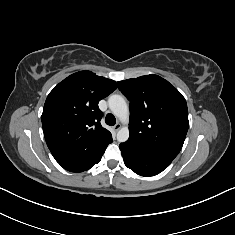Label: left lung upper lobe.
I'll use <instances>...</instances> for the list:
<instances>
[{"label": "left lung upper lobe", "instance_id": "obj_1", "mask_svg": "<svg viewBox=\"0 0 235 235\" xmlns=\"http://www.w3.org/2000/svg\"><path fill=\"white\" fill-rule=\"evenodd\" d=\"M130 101L128 143L168 160L180 152L189 127L185 98L158 75L119 81Z\"/></svg>", "mask_w": 235, "mask_h": 235}]
</instances>
